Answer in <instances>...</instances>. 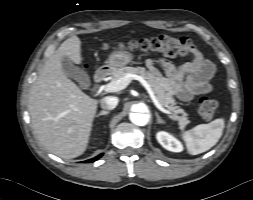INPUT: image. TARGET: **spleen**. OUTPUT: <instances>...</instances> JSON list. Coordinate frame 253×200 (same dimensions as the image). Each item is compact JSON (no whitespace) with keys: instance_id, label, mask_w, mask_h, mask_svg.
<instances>
[{"instance_id":"obj_1","label":"spleen","mask_w":253,"mask_h":200,"mask_svg":"<svg viewBox=\"0 0 253 200\" xmlns=\"http://www.w3.org/2000/svg\"><path fill=\"white\" fill-rule=\"evenodd\" d=\"M224 119H215L208 124H200L182 134L188 152L197 155L211 149L222 136Z\"/></svg>"}]
</instances>
